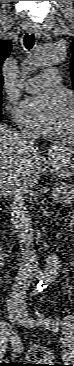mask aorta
Here are the masks:
<instances>
[{
    "mask_svg": "<svg viewBox=\"0 0 74 366\" xmlns=\"http://www.w3.org/2000/svg\"><path fill=\"white\" fill-rule=\"evenodd\" d=\"M66 56V48L60 43H43L36 47V49L30 53L25 64L27 69L57 66L60 65ZM52 262L57 263V256L51 254L47 258V265L45 269L46 277H50L55 271L52 270Z\"/></svg>",
    "mask_w": 74,
    "mask_h": 366,
    "instance_id": "obj_1",
    "label": "aorta"
}]
</instances>
